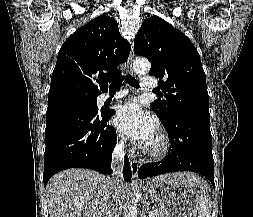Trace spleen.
I'll list each match as a JSON object with an SVG mask.
<instances>
[{
  "instance_id": "3e777b00",
  "label": "spleen",
  "mask_w": 253,
  "mask_h": 217,
  "mask_svg": "<svg viewBox=\"0 0 253 217\" xmlns=\"http://www.w3.org/2000/svg\"><path fill=\"white\" fill-rule=\"evenodd\" d=\"M212 203L210 196L203 190L200 197V207L198 217H211Z\"/></svg>"
}]
</instances>
